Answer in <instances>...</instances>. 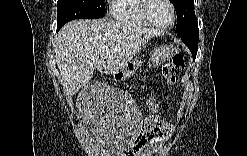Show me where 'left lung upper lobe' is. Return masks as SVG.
<instances>
[{"mask_svg": "<svg viewBox=\"0 0 247 156\" xmlns=\"http://www.w3.org/2000/svg\"><path fill=\"white\" fill-rule=\"evenodd\" d=\"M177 13V35L182 41H188L198 30L194 12V0H172Z\"/></svg>", "mask_w": 247, "mask_h": 156, "instance_id": "1", "label": "left lung upper lobe"}]
</instances>
